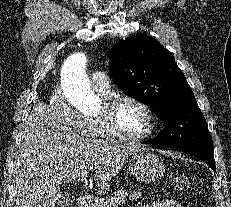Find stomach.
Wrapping results in <instances>:
<instances>
[{"instance_id":"obj_1","label":"stomach","mask_w":231,"mask_h":207,"mask_svg":"<svg viewBox=\"0 0 231 207\" xmlns=\"http://www.w3.org/2000/svg\"><path fill=\"white\" fill-rule=\"evenodd\" d=\"M130 171L142 183H153L163 176L165 165L156 154L141 150L131 155Z\"/></svg>"}]
</instances>
